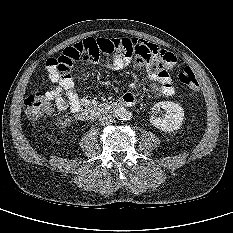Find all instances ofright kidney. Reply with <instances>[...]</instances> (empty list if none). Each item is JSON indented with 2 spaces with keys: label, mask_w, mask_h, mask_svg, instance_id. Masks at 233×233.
Wrapping results in <instances>:
<instances>
[{
  "label": "right kidney",
  "mask_w": 233,
  "mask_h": 233,
  "mask_svg": "<svg viewBox=\"0 0 233 233\" xmlns=\"http://www.w3.org/2000/svg\"><path fill=\"white\" fill-rule=\"evenodd\" d=\"M69 125V119H65L64 121L60 122V128L65 129Z\"/></svg>",
  "instance_id": "1"
}]
</instances>
